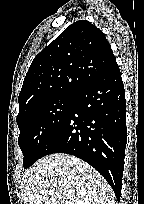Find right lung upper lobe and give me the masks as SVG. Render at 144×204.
<instances>
[{
	"mask_svg": "<svg viewBox=\"0 0 144 204\" xmlns=\"http://www.w3.org/2000/svg\"><path fill=\"white\" fill-rule=\"evenodd\" d=\"M116 66L104 33L86 20L74 22L34 58L19 93V114L54 96L76 95Z\"/></svg>",
	"mask_w": 144,
	"mask_h": 204,
	"instance_id": "cb5924a9",
	"label": "right lung upper lobe"
}]
</instances>
